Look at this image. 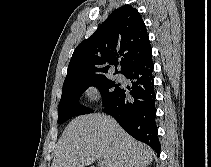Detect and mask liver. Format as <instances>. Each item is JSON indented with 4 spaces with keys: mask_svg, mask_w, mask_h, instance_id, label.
Segmentation results:
<instances>
[{
    "mask_svg": "<svg viewBox=\"0 0 211 167\" xmlns=\"http://www.w3.org/2000/svg\"><path fill=\"white\" fill-rule=\"evenodd\" d=\"M153 155L113 118L94 113L75 118L65 128L51 167H85L100 158L106 167H145Z\"/></svg>",
    "mask_w": 211,
    "mask_h": 167,
    "instance_id": "6515ba94",
    "label": "liver"
}]
</instances>
